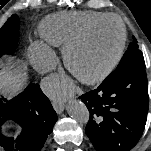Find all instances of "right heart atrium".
I'll use <instances>...</instances> for the list:
<instances>
[{
	"mask_svg": "<svg viewBox=\"0 0 151 151\" xmlns=\"http://www.w3.org/2000/svg\"><path fill=\"white\" fill-rule=\"evenodd\" d=\"M29 56L33 65L40 71L47 70L53 62L52 49L43 42H34L30 46Z\"/></svg>",
	"mask_w": 151,
	"mask_h": 151,
	"instance_id": "1",
	"label": "right heart atrium"
}]
</instances>
